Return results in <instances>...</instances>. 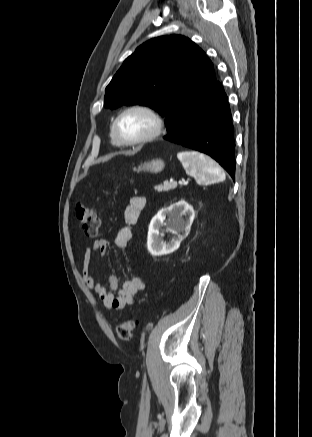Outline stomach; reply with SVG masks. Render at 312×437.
I'll use <instances>...</instances> for the list:
<instances>
[{
    "label": "stomach",
    "mask_w": 312,
    "mask_h": 437,
    "mask_svg": "<svg viewBox=\"0 0 312 437\" xmlns=\"http://www.w3.org/2000/svg\"><path fill=\"white\" fill-rule=\"evenodd\" d=\"M164 162L161 159L152 160L150 162H145L143 165L139 166L138 168H134V171L140 172V171H147L151 173H158L161 172L164 169Z\"/></svg>",
    "instance_id": "obj_1"
}]
</instances>
